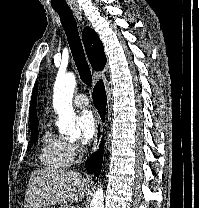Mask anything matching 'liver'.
Instances as JSON below:
<instances>
[{
	"label": "liver",
	"mask_w": 199,
	"mask_h": 208,
	"mask_svg": "<svg viewBox=\"0 0 199 208\" xmlns=\"http://www.w3.org/2000/svg\"><path fill=\"white\" fill-rule=\"evenodd\" d=\"M90 181L79 172L39 169L31 173L25 195V208L63 205L82 201Z\"/></svg>",
	"instance_id": "liver-1"
}]
</instances>
